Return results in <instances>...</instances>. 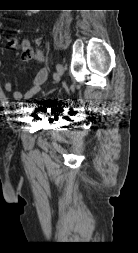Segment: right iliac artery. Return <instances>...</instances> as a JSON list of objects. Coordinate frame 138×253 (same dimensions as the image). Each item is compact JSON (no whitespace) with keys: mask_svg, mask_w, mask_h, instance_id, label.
I'll return each mask as SVG.
<instances>
[{"mask_svg":"<svg viewBox=\"0 0 138 253\" xmlns=\"http://www.w3.org/2000/svg\"><path fill=\"white\" fill-rule=\"evenodd\" d=\"M54 79H55V80H59V77H58L57 74H54Z\"/></svg>","mask_w":138,"mask_h":253,"instance_id":"1","label":"right iliac artery"}]
</instances>
